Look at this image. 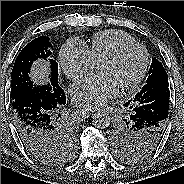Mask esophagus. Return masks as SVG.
I'll return each instance as SVG.
<instances>
[{
  "mask_svg": "<svg viewBox=\"0 0 184 184\" xmlns=\"http://www.w3.org/2000/svg\"><path fill=\"white\" fill-rule=\"evenodd\" d=\"M97 111L99 112L100 110H88V109L83 110V112L87 114L92 113V112H97Z\"/></svg>",
  "mask_w": 184,
  "mask_h": 184,
  "instance_id": "34e87169",
  "label": "esophagus"
}]
</instances>
